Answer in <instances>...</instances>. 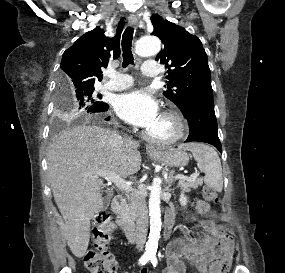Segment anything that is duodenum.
I'll return each instance as SVG.
<instances>
[{
  "instance_id": "duodenum-1",
  "label": "duodenum",
  "mask_w": 285,
  "mask_h": 273,
  "mask_svg": "<svg viewBox=\"0 0 285 273\" xmlns=\"http://www.w3.org/2000/svg\"><path fill=\"white\" fill-rule=\"evenodd\" d=\"M112 211L116 217V223L126 236V238L133 242L135 240V225L133 221L126 214V203L123 197L118 196L114 199L112 204ZM176 211L168 209L164 220V237L168 238L175 221Z\"/></svg>"
}]
</instances>
